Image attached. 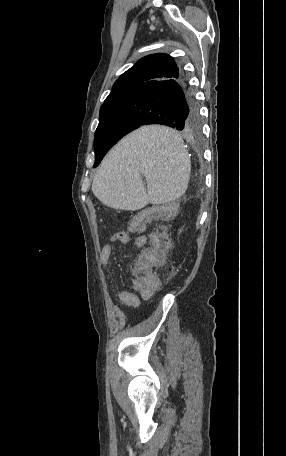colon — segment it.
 I'll return each mask as SVG.
<instances>
[{
	"label": "colon",
	"mask_w": 286,
	"mask_h": 456,
	"mask_svg": "<svg viewBox=\"0 0 286 456\" xmlns=\"http://www.w3.org/2000/svg\"><path fill=\"white\" fill-rule=\"evenodd\" d=\"M159 216V212H157ZM148 221V215L137 216L131 223L134 231H142ZM123 232L113 235L112 239H119ZM151 247L144 250L132 269L135 287L139 290L155 291L161 285V279L152 272V267H160L163 264L165 251L167 249L166 238L162 232L152 236Z\"/></svg>",
	"instance_id": "obj_1"
}]
</instances>
